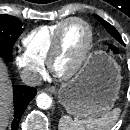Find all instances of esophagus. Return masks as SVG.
I'll return each mask as SVG.
<instances>
[{
    "mask_svg": "<svg viewBox=\"0 0 130 130\" xmlns=\"http://www.w3.org/2000/svg\"><path fill=\"white\" fill-rule=\"evenodd\" d=\"M45 91L48 93L54 94V93H56V88L53 86H50V87L45 88Z\"/></svg>",
    "mask_w": 130,
    "mask_h": 130,
    "instance_id": "obj_1",
    "label": "esophagus"
}]
</instances>
